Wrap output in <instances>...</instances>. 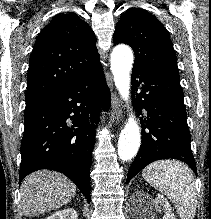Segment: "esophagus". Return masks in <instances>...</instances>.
Segmentation results:
<instances>
[{"label": "esophagus", "instance_id": "esophagus-1", "mask_svg": "<svg viewBox=\"0 0 211 219\" xmlns=\"http://www.w3.org/2000/svg\"><path fill=\"white\" fill-rule=\"evenodd\" d=\"M112 110L114 112L116 122H119L122 118V111L120 109L119 98L117 97L116 94L113 97Z\"/></svg>", "mask_w": 211, "mask_h": 219}]
</instances>
